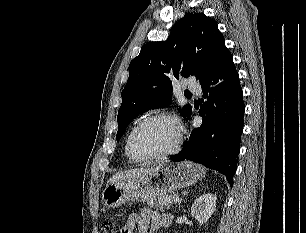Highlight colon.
<instances>
[{"label":"colon","mask_w":306,"mask_h":233,"mask_svg":"<svg viewBox=\"0 0 306 233\" xmlns=\"http://www.w3.org/2000/svg\"><path fill=\"white\" fill-rule=\"evenodd\" d=\"M101 230L103 233H123V228L114 220L106 219L103 221Z\"/></svg>","instance_id":"5ec220e1"}]
</instances>
